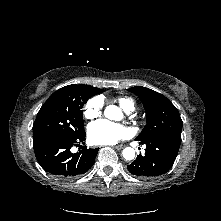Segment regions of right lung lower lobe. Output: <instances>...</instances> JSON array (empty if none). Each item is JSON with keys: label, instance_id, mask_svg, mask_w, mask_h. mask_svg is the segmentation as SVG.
<instances>
[{"label": "right lung lower lobe", "instance_id": "obj_1", "mask_svg": "<svg viewBox=\"0 0 221 221\" xmlns=\"http://www.w3.org/2000/svg\"><path fill=\"white\" fill-rule=\"evenodd\" d=\"M85 133L73 140L52 139L34 146L36 158L48 173L60 178H73L86 173L94 164L98 148L72 153L71 147L84 144Z\"/></svg>", "mask_w": 221, "mask_h": 221}]
</instances>
